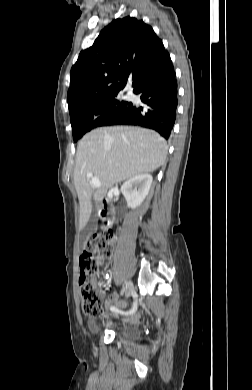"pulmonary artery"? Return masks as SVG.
<instances>
[{
    "label": "pulmonary artery",
    "instance_id": "pulmonary-artery-1",
    "mask_svg": "<svg viewBox=\"0 0 252 390\" xmlns=\"http://www.w3.org/2000/svg\"><path fill=\"white\" fill-rule=\"evenodd\" d=\"M127 97L128 98H133V94L132 93H128Z\"/></svg>",
    "mask_w": 252,
    "mask_h": 390
}]
</instances>
